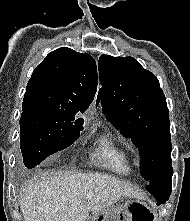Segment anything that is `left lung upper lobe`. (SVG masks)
Returning a JSON list of instances; mask_svg holds the SVG:
<instances>
[{"label":"left lung upper lobe","mask_w":190,"mask_h":221,"mask_svg":"<svg viewBox=\"0 0 190 221\" xmlns=\"http://www.w3.org/2000/svg\"><path fill=\"white\" fill-rule=\"evenodd\" d=\"M97 104L141 156V173L148 185L171 167L169 110L157 77L133 57L101 55Z\"/></svg>","instance_id":"left-lung-upper-lobe-1"}]
</instances>
